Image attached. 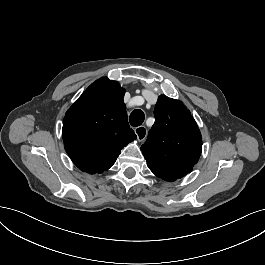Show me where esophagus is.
Segmentation results:
<instances>
[{
  "label": "esophagus",
  "instance_id": "esophagus-1",
  "mask_svg": "<svg viewBox=\"0 0 265 265\" xmlns=\"http://www.w3.org/2000/svg\"><path fill=\"white\" fill-rule=\"evenodd\" d=\"M135 134L137 135L138 141H143L147 136V128L145 126H138L134 129Z\"/></svg>",
  "mask_w": 265,
  "mask_h": 265
}]
</instances>
